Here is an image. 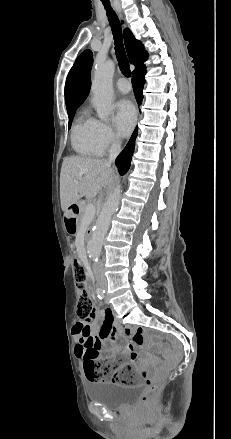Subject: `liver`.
I'll return each instance as SVG.
<instances>
[{"instance_id": "liver-1", "label": "liver", "mask_w": 231, "mask_h": 439, "mask_svg": "<svg viewBox=\"0 0 231 439\" xmlns=\"http://www.w3.org/2000/svg\"><path fill=\"white\" fill-rule=\"evenodd\" d=\"M84 175V177H83ZM115 178V171L103 159L72 156L64 159L60 173L61 208L66 211L83 196L89 198L103 190Z\"/></svg>"}]
</instances>
